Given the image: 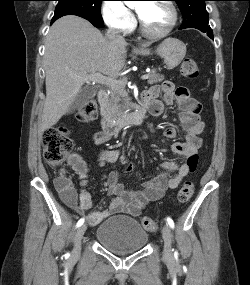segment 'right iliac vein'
Returning <instances> with one entry per match:
<instances>
[{"label": "right iliac vein", "mask_w": 250, "mask_h": 285, "mask_svg": "<svg viewBox=\"0 0 250 285\" xmlns=\"http://www.w3.org/2000/svg\"><path fill=\"white\" fill-rule=\"evenodd\" d=\"M87 229L86 224H82L76 231L74 236V249H73V255L78 256L80 254L81 250V240L83 238V235Z\"/></svg>", "instance_id": "right-iliac-vein-1"}]
</instances>
